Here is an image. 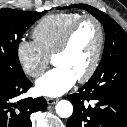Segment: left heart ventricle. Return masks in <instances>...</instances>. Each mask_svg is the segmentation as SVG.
<instances>
[{
  "label": "left heart ventricle",
  "mask_w": 127,
  "mask_h": 127,
  "mask_svg": "<svg viewBox=\"0 0 127 127\" xmlns=\"http://www.w3.org/2000/svg\"><path fill=\"white\" fill-rule=\"evenodd\" d=\"M98 44V30L92 21L83 22L75 32L68 50L53 59L55 66L64 67L76 78L89 68Z\"/></svg>",
  "instance_id": "b2bd125f"
}]
</instances>
